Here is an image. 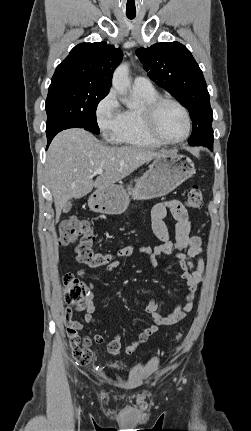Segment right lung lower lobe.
<instances>
[{
    "instance_id": "1",
    "label": "right lung lower lobe",
    "mask_w": 251,
    "mask_h": 431,
    "mask_svg": "<svg viewBox=\"0 0 251 431\" xmlns=\"http://www.w3.org/2000/svg\"><path fill=\"white\" fill-rule=\"evenodd\" d=\"M57 133H58V132H57ZM57 133H53V134L47 135V142H48L47 147L49 146V144L51 143L52 139L54 138V136H55Z\"/></svg>"
}]
</instances>
